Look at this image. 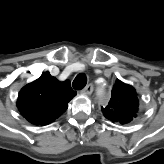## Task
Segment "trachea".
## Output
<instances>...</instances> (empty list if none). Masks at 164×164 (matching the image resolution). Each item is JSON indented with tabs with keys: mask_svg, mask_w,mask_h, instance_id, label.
I'll return each mask as SVG.
<instances>
[{
	"mask_svg": "<svg viewBox=\"0 0 164 164\" xmlns=\"http://www.w3.org/2000/svg\"><path fill=\"white\" fill-rule=\"evenodd\" d=\"M87 77L84 73L78 74L73 81V88L76 90H81L86 86Z\"/></svg>",
	"mask_w": 164,
	"mask_h": 164,
	"instance_id": "trachea-1",
	"label": "trachea"
}]
</instances>
